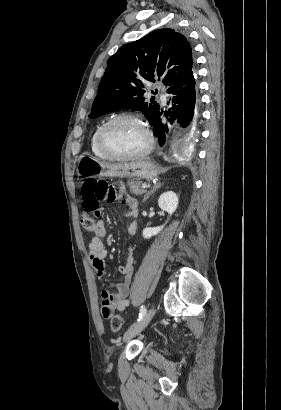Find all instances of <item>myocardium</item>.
Returning <instances> with one entry per match:
<instances>
[{
  "label": "myocardium",
  "mask_w": 281,
  "mask_h": 410,
  "mask_svg": "<svg viewBox=\"0 0 281 410\" xmlns=\"http://www.w3.org/2000/svg\"><path fill=\"white\" fill-rule=\"evenodd\" d=\"M131 120L134 121L136 123H138L139 125H141L146 133L147 136V144L146 146L139 152L137 153H133V154H120L117 153L115 151H113L112 149H110L105 141V135L106 132L108 131V129L117 121L120 120ZM97 142H98V147L99 149L110 159H114V160H132V159H138V158H142L145 157L146 155H148L153 147H154V138L152 135V132L149 129V126L147 125V123L140 118L139 116L132 114V113H120L117 114L115 116H113L112 118H110L109 120H107L105 123L102 124V126L99 129L98 135H97Z\"/></svg>",
  "instance_id": "obj_1"
}]
</instances>
